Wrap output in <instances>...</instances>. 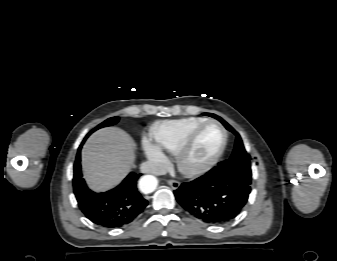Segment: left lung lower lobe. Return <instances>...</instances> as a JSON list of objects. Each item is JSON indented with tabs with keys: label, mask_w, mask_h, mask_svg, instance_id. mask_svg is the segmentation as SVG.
<instances>
[{
	"label": "left lung lower lobe",
	"mask_w": 337,
	"mask_h": 261,
	"mask_svg": "<svg viewBox=\"0 0 337 261\" xmlns=\"http://www.w3.org/2000/svg\"><path fill=\"white\" fill-rule=\"evenodd\" d=\"M250 185L227 168L214 167L174 191L176 200L192 216L207 224L233 220L243 209Z\"/></svg>",
	"instance_id": "0a47b994"
}]
</instances>
